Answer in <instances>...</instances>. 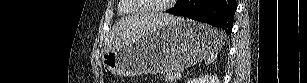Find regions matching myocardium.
Here are the masks:
<instances>
[{
    "instance_id": "myocardium-1",
    "label": "myocardium",
    "mask_w": 307,
    "mask_h": 83,
    "mask_svg": "<svg viewBox=\"0 0 307 83\" xmlns=\"http://www.w3.org/2000/svg\"><path fill=\"white\" fill-rule=\"evenodd\" d=\"M127 1L131 5H133L139 12L157 14V13L166 12L170 7V4L174 3L176 0H168V2L164 3L162 6L156 8H146L140 4L139 0H127Z\"/></svg>"
}]
</instances>
